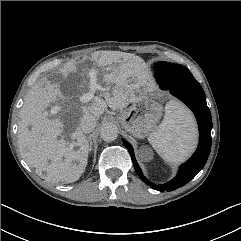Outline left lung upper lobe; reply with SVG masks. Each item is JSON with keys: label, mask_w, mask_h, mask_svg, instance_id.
I'll return each mask as SVG.
<instances>
[{"label": "left lung upper lobe", "mask_w": 241, "mask_h": 241, "mask_svg": "<svg viewBox=\"0 0 241 241\" xmlns=\"http://www.w3.org/2000/svg\"><path fill=\"white\" fill-rule=\"evenodd\" d=\"M154 69L165 83L171 87H178L196 82L190 71L184 66L172 64L169 62H158Z\"/></svg>", "instance_id": "obj_1"}]
</instances>
